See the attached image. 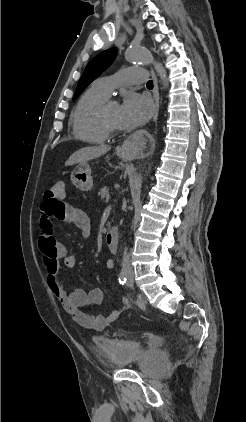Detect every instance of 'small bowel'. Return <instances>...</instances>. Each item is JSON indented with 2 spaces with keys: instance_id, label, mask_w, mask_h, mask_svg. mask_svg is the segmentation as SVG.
I'll list each match as a JSON object with an SVG mask.
<instances>
[{
  "instance_id": "obj_1",
  "label": "small bowel",
  "mask_w": 246,
  "mask_h": 422,
  "mask_svg": "<svg viewBox=\"0 0 246 422\" xmlns=\"http://www.w3.org/2000/svg\"><path fill=\"white\" fill-rule=\"evenodd\" d=\"M41 212L39 245L43 255L47 282L51 291L60 301L64 310L77 324L94 331L104 330L110 323L119 318L128 306V299L123 297L124 308L115 310L108 316L89 314L84 308L100 305L104 300L103 290L98 287H91L88 290L75 289L72 292H68L64 289L59 279V262L62 260L66 267L73 268L77 263V258L75 255L68 253L66 247L55 238V221L71 223L80 229L84 236H88L91 224L87 215L81 209L65 203L51 211L46 203L43 202ZM106 267L110 270L113 269V261L107 260Z\"/></svg>"
}]
</instances>
